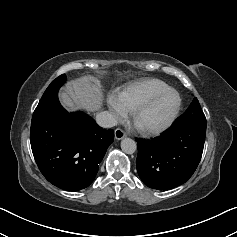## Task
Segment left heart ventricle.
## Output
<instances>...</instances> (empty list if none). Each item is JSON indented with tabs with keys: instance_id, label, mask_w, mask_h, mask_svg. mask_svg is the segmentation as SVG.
<instances>
[{
	"instance_id": "left-heart-ventricle-1",
	"label": "left heart ventricle",
	"mask_w": 237,
	"mask_h": 237,
	"mask_svg": "<svg viewBox=\"0 0 237 237\" xmlns=\"http://www.w3.org/2000/svg\"><path fill=\"white\" fill-rule=\"evenodd\" d=\"M176 103L177 98L174 94L160 98L141 115L140 122L145 125L162 123L172 112Z\"/></svg>"
}]
</instances>
